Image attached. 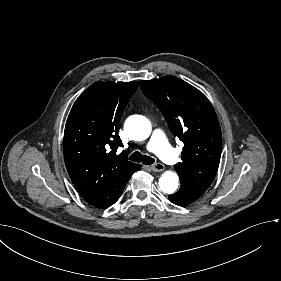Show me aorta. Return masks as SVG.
Segmentation results:
<instances>
[{
    "instance_id": "1",
    "label": "aorta",
    "mask_w": 281,
    "mask_h": 281,
    "mask_svg": "<svg viewBox=\"0 0 281 281\" xmlns=\"http://www.w3.org/2000/svg\"><path fill=\"white\" fill-rule=\"evenodd\" d=\"M125 130L132 139L141 141L150 136L152 128L147 118L134 116L125 123ZM178 183L179 177L173 171L164 172L158 182L161 191L167 194L174 193L178 187Z\"/></svg>"
}]
</instances>
